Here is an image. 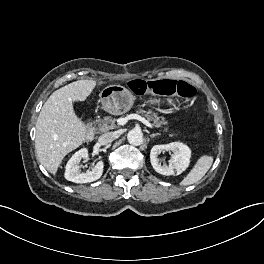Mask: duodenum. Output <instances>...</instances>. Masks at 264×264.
I'll return each instance as SVG.
<instances>
[{
	"label": "duodenum",
	"instance_id": "410a0bca",
	"mask_svg": "<svg viewBox=\"0 0 264 264\" xmlns=\"http://www.w3.org/2000/svg\"><path fill=\"white\" fill-rule=\"evenodd\" d=\"M87 140L91 141L94 138V129L93 127H89L86 133Z\"/></svg>",
	"mask_w": 264,
	"mask_h": 264
}]
</instances>
